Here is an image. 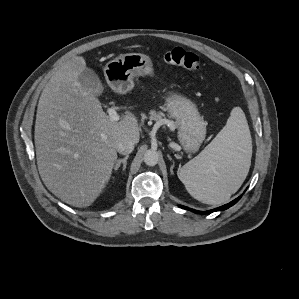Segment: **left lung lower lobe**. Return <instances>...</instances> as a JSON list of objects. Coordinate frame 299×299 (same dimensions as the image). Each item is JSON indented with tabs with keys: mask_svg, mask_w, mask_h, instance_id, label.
I'll list each match as a JSON object with an SVG mask.
<instances>
[{
	"mask_svg": "<svg viewBox=\"0 0 299 299\" xmlns=\"http://www.w3.org/2000/svg\"><path fill=\"white\" fill-rule=\"evenodd\" d=\"M240 198H241V196H239L238 198H236L235 200L231 201L228 204H225V205H223L221 207H218V208H215V209H212V210H209V211H204V212L197 211V210H194V209H190V208L182 206V205H180L179 207H181L183 209H186V210H190V211L195 212V213L208 214V213H212V212H215V211L226 210L229 207L233 206L235 203H237L240 200Z\"/></svg>",
	"mask_w": 299,
	"mask_h": 299,
	"instance_id": "obj_1",
	"label": "left lung lower lobe"
}]
</instances>
